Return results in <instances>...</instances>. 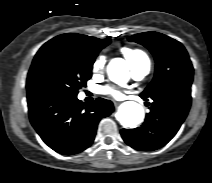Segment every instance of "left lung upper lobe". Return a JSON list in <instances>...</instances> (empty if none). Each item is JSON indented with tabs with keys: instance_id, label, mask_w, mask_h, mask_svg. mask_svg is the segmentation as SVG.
Wrapping results in <instances>:
<instances>
[{
	"instance_id": "left-lung-upper-lobe-1",
	"label": "left lung upper lobe",
	"mask_w": 212,
	"mask_h": 183,
	"mask_svg": "<svg viewBox=\"0 0 212 183\" xmlns=\"http://www.w3.org/2000/svg\"><path fill=\"white\" fill-rule=\"evenodd\" d=\"M128 40L148 48L156 61L155 76L141 93L142 96L150 97L165 90L191 87L194 69L180 42L157 32L135 34Z\"/></svg>"
}]
</instances>
